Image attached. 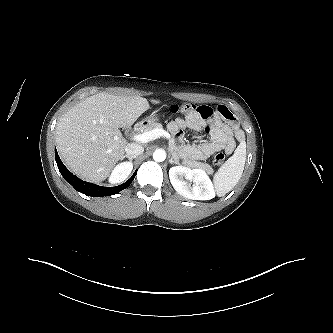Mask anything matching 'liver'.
Listing matches in <instances>:
<instances>
[{"instance_id": "6515ba94", "label": "liver", "mask_w": 333, "mask_h": 333, "mask_svg": "<svg viewBox=\"0 0 333 333\" xmlns=\"http://www.w3.org/2000/svg\"><path fill=\"white\" fill-rule=\"evenodd\" d=\"M153 104L159 100L151 99ZM149 109L140 96L99 93L68 110L56 125V143L66 166L80 178L106 179L128 145L119 128L133 123Z\"/></svg>"}]
</instances>
